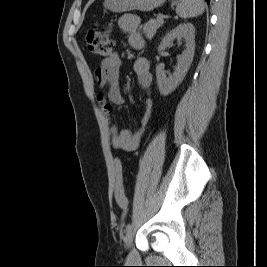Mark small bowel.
Instances as JSON below:
<instances>
[{
  "mask_svg": "<svg viewBox=\"0 0 267 267\" xmlns=\"http://www.w3.org/2000/svg\"><path fill=\"white\" fill-rule=\"evenodd\" d=\"M140 23V17L133 14L123 15L118 20L119 27L128 34L129 45L136 50H140L144 46V39L139 31ZM120 64V56L114 53L110 58L104 59L96 69L95 79L99 87H107L106 96L102 94L97 95V101L108 120L109 128L112 133L113 148L125 152H133L138 148L144 128L149 121L152 112V100L150 98L146 99L145 111L141 119V127L136 132L130 129L119 130L115 124L111 123L113 106L124 103V97L120 89ZM133 69L136 73L139 86L145 94H149L152 85L149 61L145 57H137L134 61Z\"/></svg>",
  "mask_w": 267,
  "mask_h": 267,
  "instance_id": "c3829d8e",
  "label": "small bowel"
}]
</instances>
